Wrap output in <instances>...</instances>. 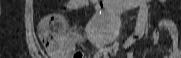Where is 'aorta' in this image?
Instances as JSON below:
<instances>
[{
	"label": "aorta",
	"instance_id": "762f6f07",
	"mask_svg": "<svg viewBox=\"0 0 181 58\" xmlns=\"http://www.w3.org/2000/svg\"><path fill=\"white\" fill-rule=\"evenodd\" d=\"M148 21L147 0H142L136 20L135 32L144 33Z\"/></svg>",
	"mask_w": 181,
	"mask_h": 58
}]
</instances>
